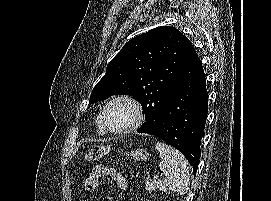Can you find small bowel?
Returning <instances> with one entry per match:
<instances>
[{
	"instance_id": "small-bowel-1",
	"label": "small bowel",
	"mask_w": 271,
	"mask_h": 201,
	"mask_svg": "<svg viewBox=\"0 0 271 201\" xmlns=\"http://www.w3.org/2000/svg\"><path fill=\"white\" fill-rule=\"evenodd\" d=\"M110 178L116 185V187L125 191L127 188V181L124 176L117 169L106 166L98 165L96 166L87 176L84 182V187L86 190L92 191L99 187L102 179Z\"/></svg>"
}]
</instances>
